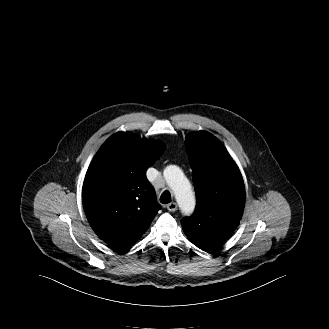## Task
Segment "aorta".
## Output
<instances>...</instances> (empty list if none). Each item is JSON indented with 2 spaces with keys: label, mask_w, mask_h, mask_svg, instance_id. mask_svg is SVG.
<instances>
[{
  "label": "aorta",
  "mask_w": 329,
  "mask_h": 329,
  "mask_svg": "<svg viewBox=\"0 0 329 329\" xmlns=\"http://www.w3.org/2000/svg\"><path fill=\"white\" fill-rule=\"evenodd\" d=\"M164 178L173 191L176 201L185 214H190L195 208V196L189 180L176 165H169L164 169Z\"/></svg>",
  "instance_id": "762f6f07"
}]
</instances>
